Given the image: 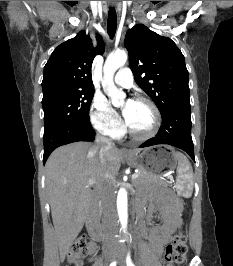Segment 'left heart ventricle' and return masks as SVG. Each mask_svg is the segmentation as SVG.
<instances>
[{
    "label": "left heart ventricle",
    "instance_id": "obj_1",
    "mask_svg": "<svg viewBox=\"0 0 233 266\" xmlns=\"http://www.w3.org/2000/svg\"><path fill=\"white\" fill-rule=\"evenodd\" d=\"M127 102L122 105L123 110L126 108ZM154 121L151 108L144 103L135 102L132 105V117L129 127L136 133L142 134L150 130Z\"/></svg>",
    "mask_w": 233,
    "mask_h": 266
}]
</instances>
